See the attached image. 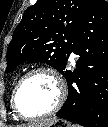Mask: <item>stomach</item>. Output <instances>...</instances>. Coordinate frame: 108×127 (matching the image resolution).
<instances>
[{
  "label": "stomach",
  "instance_id": "0dacf381",
  "mask_svg": "<svg viewBox=\"0 0 108 127\" xmlns=\"http://www.w3.org/2000/svg\"><path fill=\"white\" fill-rule=\"evenodd\" d=\"M43 127H72L70 122L63 120V119H55L53 122L49 123Z\"/></svg>",
  "mask_w": 108,
  "mask_h": 127
}]
</instances>
